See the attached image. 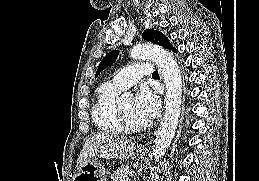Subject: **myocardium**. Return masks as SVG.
<instances>
[{"label": "myocardium", "instance_id": "obj_1", "mask_svg": "<svg viewBox=\"0 0 259 181\" xmlns=\"http://www.w3.org/2000/svg\"><path fill=\"white\" fill-rule=\"evenodd\" d=\"M118 114L120 118V122L123 126V128L127 132H139L144 130L147 127V124L145 123H135L133 122L126 113L122 110L121 107H118Z\"/></svg>", "mask_w": 259, "mask_h": 181}]
</instances>
